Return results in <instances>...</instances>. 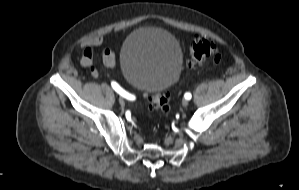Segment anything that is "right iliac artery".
Segmentation results:
<instances>
[{
    "mask_svg": "<svg viewBox=\"0 0 299 190\" xmlns=\"http://www.w3.org/2000/svg\"><path fill=\"white\" fill-rule=\"evenodd\" d=\"M112 85V88L118 93L120 94L122 97L126 98V99H129V100H134L135 99V96L126 92L123 88H121L119 86L118 83H116L115 81H112L111 83Z\"/></svg>",
    "mask_w": 299,
    "mask_h": 190,
    "instance_id": "obj_1",
    "label": "right iliac artery"
}]
</instances>
